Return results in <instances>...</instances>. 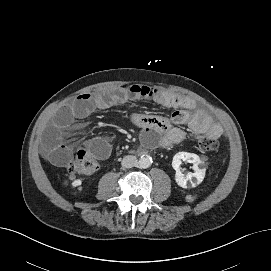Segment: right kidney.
<instances>
[{
  "instance_id": "1",
  "label": "right kidney",
  "mask_w": 271,
  "mask_h": 271,
  "mask_svg": "<svg viewBox=\"0 0 271 271\" xmlns=\"http://www.w3.org/2000/svg\"><path fill=\"white\" fill-rule=\"evenodd\" d=\"M81 184H82V181H81L80 179H76V180H74L73 183H72V185H73L74 187L79 186L78 189H79L80 191L82 190Z\"/></svg>"
}]
</instances>
